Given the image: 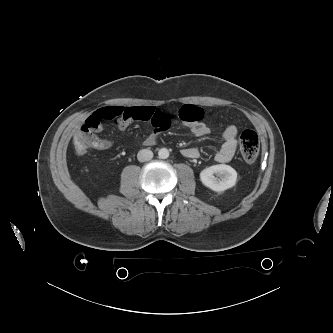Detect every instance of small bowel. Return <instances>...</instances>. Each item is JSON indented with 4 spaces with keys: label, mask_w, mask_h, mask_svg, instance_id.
I'll use <instances>...</instances> for the list:
<instances>
[{
    "label": "small bowel",
    "mask_w": 333,
    "mask_h": 333,
    "mask_svg": "<svg viewBox=\"0 0 333 333\" xmlns=\"http://www.w3.org/2000/svg\"><path fill=\"white\" fill-rule=\"evenodd\" d=\"M203 115L201 108L188 104L183 105L177 112L182 126L190 130L196 137H204L210 132L203 122ZM105 120L114 121L119 129L127 128L134 120L151 122L153 131L145 138L144 143L154 145L159 135L170 128L173 117L158 107L109 106L90 115L79 128L76 137L84 139L90 149L107 150L111 148L112 142L98 135ZM237 134L238 129L234 125H230L224 130L223 143L215 154L217 162L227 163L232 160L237 151ZM182 154L187 158H197L199 152L195 147H186L182 149Z\"/></svg>",
    "instance_id": "small-bowel-1"
}]
</instances>
